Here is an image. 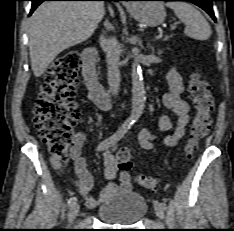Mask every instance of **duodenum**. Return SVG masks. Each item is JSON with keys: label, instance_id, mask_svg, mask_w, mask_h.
I'll return each mask as SVG.
<instances>
[{"label": "duodenum", "instance_id": "410a0bca", "mask_svg": "<svg viewBox=\"0 0 234 231\" xmlns=\"http://www.w3.org/2000/svg\"><path fill=\"white\" fill-rule=\"evenodd\" d=\"M82 76L84 83L89 91L91 101L100 109H109L113 106L112 96L105 90L99 82L95 62L97 51L93 47L86 48L82 53Z\"/></svg>", "mask_w": 234, "mask_h": 231}]
</instances>
